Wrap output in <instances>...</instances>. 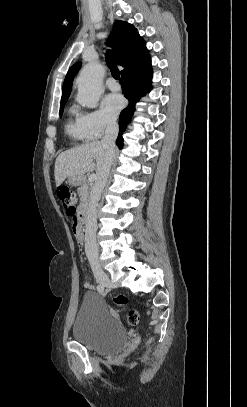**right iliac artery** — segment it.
<instances>
[{
	"label": "right iliac artery",
	"instance_id": "obj_1",
	"mask_svg": "<svg viewBox=\"0 0 247 407\" xmlns=\"http://www.w3.org/2000/svg\"><path fill=\"white\" fill-rule=\"evenodd\" d=\"M97 291H98L99 293H103V292H104V286L101 285V284L97 285Z\"/></svg>",
	"mask_w": 247,
	"mask_h": 407
}]
</instances>
